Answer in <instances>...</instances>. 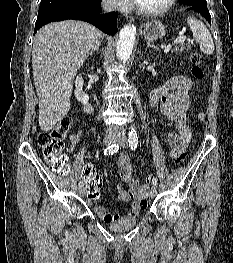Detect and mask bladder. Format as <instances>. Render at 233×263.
Wrapping results in <instances>:
<instances>
[{
  "instance_id": "31cf9c89",
  "label": "bladder",
  "mask_w": 233,
  "mask_h": 263,
  "mask_svg": "<svg viewBox=\"0 0 233 263\" xmlns=\"http://www.w3.org/2000/svg\"><path fill=\"white\" fill-rule=\"evenodd\" d=\"M136 223H137V216L128 215V216L120 218L119 220L115 222L108 224V228L113 232L119 233V232H124V231L131 229L132 227L136 225Z\"/></svg>"
}]
</instances>
